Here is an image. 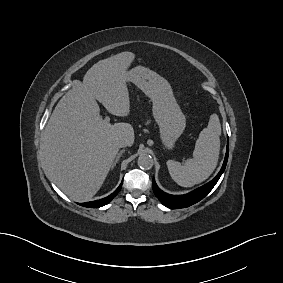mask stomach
Returning a JSON list of instances; mask_svg holds the SVG:
<instances>
[{
	"label": "stomach",
	"mask_w": 283,
	"mask_h": 283,
	"mask_svg": "<svg viewBox=\"0 0 283 283\" xmlns=\"http://www.w3.org/2000/svg\"><path fill=\"white\" fill-rule=\"evenodd\" d=\"M127 80L151 99L153 117L159 126L162 143L166 149H173L186 127V119L174 98L169 82L143 66L128 71Z\"/></svg>",
	"instance_id": "0dacf381"
}]
</instances>
